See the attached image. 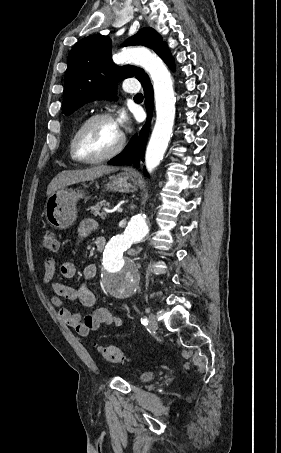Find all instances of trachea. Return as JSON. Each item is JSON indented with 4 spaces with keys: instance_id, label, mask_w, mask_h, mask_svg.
<instances>
[{
    "instance_id": "trachea-1",
    "label": "trachea",
    "mask_w": 281,
    "mask_h": 453,
    "mask_svg": "<svg viewBox=\"0 0 281 453\" xmlns=\"http://www.w3.org/2000/svg\"><path fill=\"white\" fill-rule=\"evenodd\" d=\"M135 97H143L142 93H137Z\"/></svg>"
}]
</instances>
